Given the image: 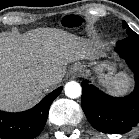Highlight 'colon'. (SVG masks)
I'll list each match as a JSON object with an SVG mask.
<instances>
[{
	"label": "colon",
	"mask_w": 139,
	"mask_h": 139,
	"mask_svg": "<svg viewBox=\"0 0 139 139\" xmlns=\"http://www.w3.org/2000/svg\"><path fill=\"white\" fill-rule=\"evenodd\" d=\"M78 22V18L76 16H66L61 20L62 25L67 27H73Z\"/></svg>",
	"instance_id": "obj_1"
}]
</instances>
